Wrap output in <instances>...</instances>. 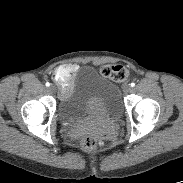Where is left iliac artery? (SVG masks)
<instances>
[{"label": "left iliac artery", "mask_w": 183, "mask_h": 183, "mask_svg": "<svg viewBox=\"0 0 183 183\" xmlns=\"http://www.w3.org/2000/svg\"><path fill=\"white\" fill-rule=\"evenodd\" d=\"M130 85H131V87H134V86H135V83H134V82H132Z\"/></svg>", "instance_id": "left-iliac-artery-1"}]
</instances>
